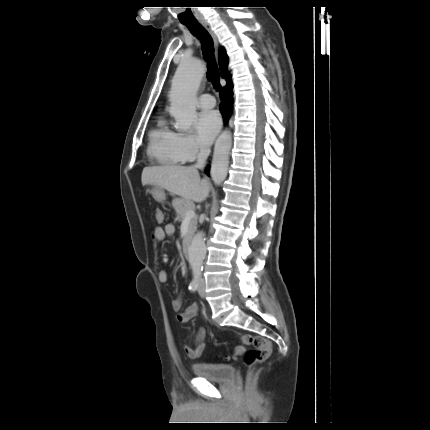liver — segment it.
Returning <instances> with one entry per match:
<instances>
[{
  "label": "liver",
  "instance_id": "1",
  "mask_svg": "<svg viewBox=\"0 0 430 430\" xmlns=\"http://www.w3.org/2000/svg\"><path fill=\"white\" fill-rule=\"evenodd\" d=\"M142 184L162 187L172 194L181 196L186 201L203 202L209 195L210 185L206 179H200L197 170L192 167L164 165L145 167L141 176Z\"/></svg>",
  "mask_w": 430,
  "mask_h": 430
}]
</instances>
